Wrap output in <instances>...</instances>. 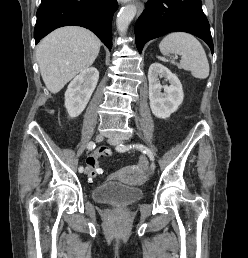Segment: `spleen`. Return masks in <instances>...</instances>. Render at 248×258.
<instances>
[{"instance_id": "spleen-1", "label": "spleen", "mask_w": 248, "mask_h": 258, "mask_svg": "<svg viewBox=\"0 0 248 258\" xmlns=\"http://www.w3.org/2000/svg\"><path fill=\"white\" fill-rule=\"evenodd\" d=\"M159 49L164 56L180 55L179 66L190 71L193 77H208L210 68L205 50L193 35L185 32L170 33L162 39ZM171 63L175 64L174 60Z\"/></svg>"}]
</instances>
